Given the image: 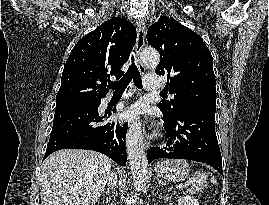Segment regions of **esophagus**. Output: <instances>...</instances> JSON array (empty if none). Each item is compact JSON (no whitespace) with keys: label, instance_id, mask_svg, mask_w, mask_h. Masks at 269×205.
I'll list each match as a JSON object with an SVG mask.
<instances>
[{"label":"esophagus","instance_id":"1","mask_svg":"<svg viewBox=\"0 0 269 205\" xmlns=\"http://www.w3.org/2000/svg\"><path fill=\"white\" fill-rule=\"evenodd\" d=\"M136 25H137V42L135 46V59L140 73L145 74L146 69L140 59L141 51L145 44V23L142 19H138L136 21ZM143 142L145 149L148 150L150 147V141L148 140V135L145 130H143Z\"/></svg>","mask_w":269,"mask_h":205}]
</instances>
